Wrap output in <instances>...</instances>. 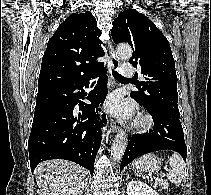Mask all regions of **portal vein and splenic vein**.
I'll list each match as a JSON object with an SVG mask.
<instances>
[{
    "mask_svg": "<svg viewBox=\"0 0 211 195\" xmlns=\"http://www.w3.org/2000/svg\"><path fill=\"white\" fill-rule=\"evenodd\" d=\"M166 170H168V169H166ZM155 180H156V182L160 181V179H159V178H156Z\"/></svg>",
    "mask_w": 211,
    "mask_h": 195,
    "instance_id": "18ae733b",
    "label": "portal vein and splenic vein"
}]
</instances>
